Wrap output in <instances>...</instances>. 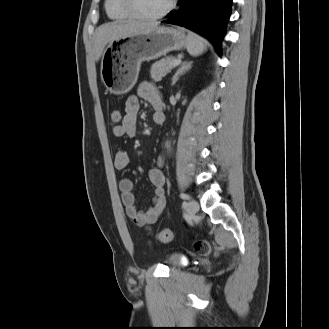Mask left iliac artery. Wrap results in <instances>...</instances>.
I'll list each match as a JSON object with an SVG mask.
<instances>
[{
  "mask_svg": "<svg viewBox=\"0 0 329 329\" xmlns=\"http://www.w3.org/2000/svg\"><path fill=\"white\" fill-rule=\"evenodd\" d=\"M180 198H182V199H188L189 196L187 194H185V193H181L180 194Z\"/></svg>",
  "mask_w": 329,
  "mask_h": 329,
  "instance_id": "obj_1",
  "label": "left iliac artery"
}]
</instances>
